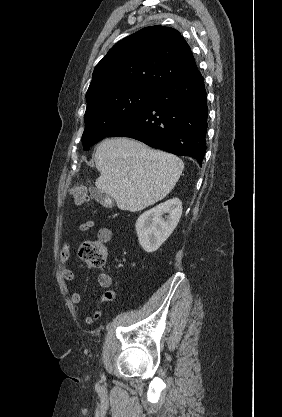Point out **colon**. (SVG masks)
<instances>
[{
	"label": "colon",
	"mask_w": 282,
	"mask_h": 417,
	"mask_svg": "<svg viewBox=\"0 0 282 417\" xmlns=\"http://www.w3.org/2000/svg\"><path fill=\"white\" fill-rule=\"evenodd\" d=\"M71 196L78 204L88 202V193L84 185L76 183L71 187ZM107 247L103 241L89 240L80 245L77 257L91 267L101 268L107 263Z\"/></svg>",
	"instance_id": "obj_1"
}]
</instances>
